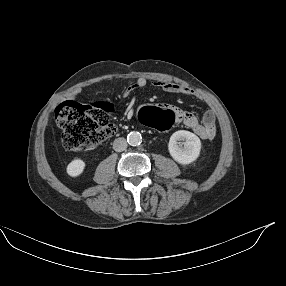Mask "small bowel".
<instances>
[{
    "instance_id": "c3829d8e",
    "label": "small bowel",
    "mask_w": 286,
    "mask_h": 286,
    "mask_svg": "<svg viewBox=\"0 0 286 286\" xmlns=\"http://www.w3.org/2000/svg\"><path fill=\"white\" fill-rule=\"evenodd\" d=\"M148 85L149 82L145 78H138L135 83L130 84L125 88L124 94L130 95L134 91L143 89ZM151 86L163 90L167 93L183 94L195 97L197 99L203 98L200 93L194 91L193 89L173 82L155 81L151 83ZM153 105L159 108L169 109V111H171L174 115L173 124L183 123L187 128L195 132L202 140L210 141L213 140L216 136V113L213 109L207 110L202 120H199L193 113L170 106V103L166 100L148 99L140 101L136 105L135 110L132 112V115L134 117H137L141 113V110L143 108Z\"/></svg>"
}]
</instances>
